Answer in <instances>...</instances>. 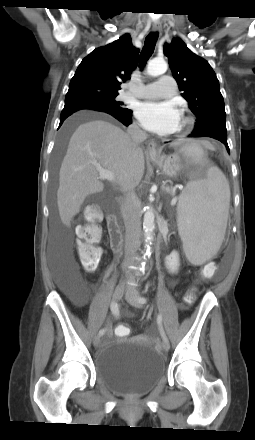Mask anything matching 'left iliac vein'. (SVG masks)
Wrapping results in <instances>:
<instances>
[{"instance_id":"obj_1","label":"left iliac vein","mask_w":255,"mask_h":440,"mask_svg":"<svg viewBox=\"0 0 255 440\" xmlns=\"http://www.w3.org/2000/svg\"><path fill=\"white\" fill-rule=\"evenodd\" d=\"M139 297H140V295L137 292L133 291V290H128L126 292V295H125L126 300L131 305L136 306V307H142V303H140L139 300H138ZM162 348H163L164 351H168L169 350L170 345H169V341L168 340H163Z\"/></svg>"}]
</instances>
